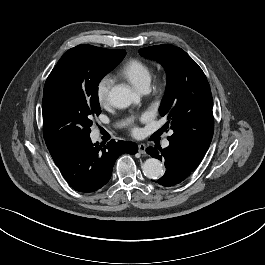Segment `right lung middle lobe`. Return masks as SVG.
Masks as SVG:
<instances>
[{
  "label": "right lung middle lobe",
  "instance_id": "right-lung-middle-lobe-1",
  "mask_svg": "<svg viewBox=\"0 0 265 265\" xmlns=\"http://www.w3.org/2000/svg\"><path fill=\"white\" fill-rule=\"evenodd\" d=\"M125 50L79 45L68 50L48 76L43 93V135L51 156L90 136L101 113L98 84L125 57Z\"/></svg>",
  "mask_w": 265,
  "mask_h": 265
}]
</instances>
